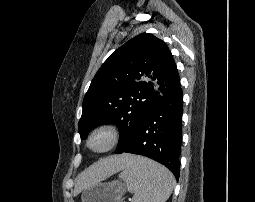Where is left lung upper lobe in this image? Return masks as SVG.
<instances>
[{
    "mask_svg": "<svg viewBox=\"0 0 255 202\" xmlns=\"http://www.w3.org/2000/svg\"><path fill=\"white\" fill-rule=\"evenodd\" d=\"M179 87L167 45L152 34H139L113 52L93 78L78 125L81 139L99 125L116 123L120 152L151 109Z\"/></svg>",
    "mask_w": 255,
    "mask_h": 202,
    "instance_id": "1",
    "label": "left lung upper lobe"
}]
</instances>
